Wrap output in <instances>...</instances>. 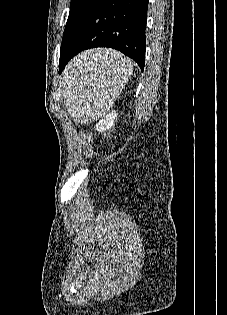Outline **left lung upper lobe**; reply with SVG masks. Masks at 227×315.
Returning <instances> with one entry per match:
<instances>
[{
    "label": "left lung upper lobe",
    "instance_id": "left-lung-upper-lobe-1",
    "mask_svg": "<svg viewBox=\"0 0 227 315\" xmlns=\"http://www.w3.org/2000/svg\"><path fill=\"white\" fill-rule=\"evenodd\" d=\"M98 0H71L69 17L63 34L61 48L65 45L77 25L91 11Z\"/></svg>",
    "mask_w": 227,
    "mask_h": 315
}]
</instances>
